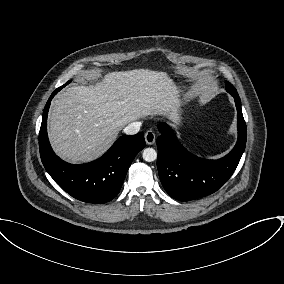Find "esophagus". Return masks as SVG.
Wrapping results in <instances>:
<instances>
[{"label":"esophagus","instance_id":"esophagus-1","mask_svg":"<svg viewBox=\"0 0 284 284\" xmlns=\"http://www.w3.org/2000/svg\"><path fill=\"white\" fill-rule=\"evenodd\" d=\"M156 135L152 130H148L145 133V141L148 145H152L155 143Z\"/></svg>","mask_w":284,"mask_h":284}]
</instances>
